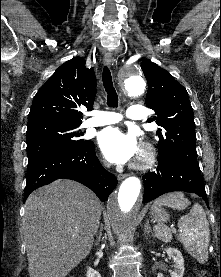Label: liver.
Segmentation results:
<instances>
[{"mask_svg":"<svg viewBox=\"0 0 221 277\" xmlns=\"http://www.w3.org/2000/svg\"><path fill=\"white\" fill-rule=\"evenodd\" d=\"M97 196L59 179L32 192L23 231L30 277H66L90 253L101 217Z\"/></svg>","mask_w":221,"mask_h":277,"instance_id":"liver-1","label":"liver"}]
</instances>
